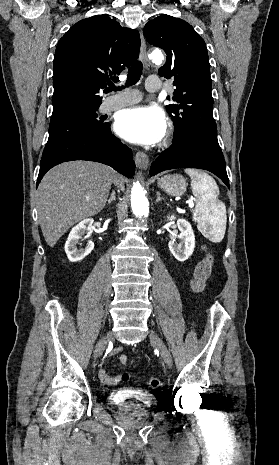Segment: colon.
I'll return each instance as SVG.
<instances>
[{"instance_id":"5ec220e1","label":"colon","mask_w":279,"mask_h":465,"mask_svg":"<svg viewBox=\"0 0 279 465\" xmlns=\"http://www.w3.org/2000/svg\"><path fill=\"white\" fill-rule=\"evenodd\" d=\"M213 267V256L205 250L203 259L197 264L194 279L192 282V288L196 293H202L205 289L206 281L208 280ZM122 380L128 381L130 374L125 372L122 374ZM147 385L150 388H158L160 386V380L156 377H150L147 380Z\"/></svg>"}]
</instances>
